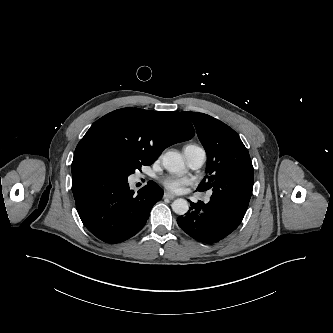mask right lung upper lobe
Listing matches in <instances>:
<instances>
[{
  "instance_id": "cb5924a9",
  "label": "right lung upper lobe",
  "mask_w": 333,
  "mask_h": 333,
  "mask_svg": "<svg viewBox=\"0 0 333 333\" xmlns=\"http://www.w3.org/2000/svg\"><path fill=\"white\" fill-rule=\"evenodd\" d=\"M194 133L191 122L180 112L118 109L96 121L78 143L72 173L84 168L94 155L152 164L165 148L191 139Z\"/></svg>"
}]
</instances>
